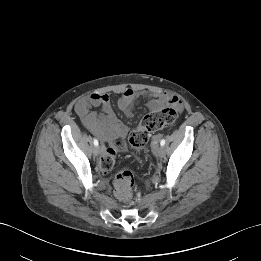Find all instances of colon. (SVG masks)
I'll return each instance as SVG.
<instances>
[{
  "instance_id": "1",
  "label": "colon",
  "mask_w": 261,
  "mask_h": 261,
  "mask_svg": "<svg viewBox=\"0 0 261 261\" xmlns=\"http://www.w3.org/2000/svg\"><path fill=\"white\" fill-rule=\"evenodd\" d=\"M177 119V111L173 108L153 110L147 113L139 126L129 135V143L137 150H143L148 142L149 135L165 126L173 124ZM117 145L110 147L100 159V169L109 172L115 164ZM134 186V176L128 170L120 171L114 182V191L118 198L130 201Z\"/></svg>"
}]
</instances>
